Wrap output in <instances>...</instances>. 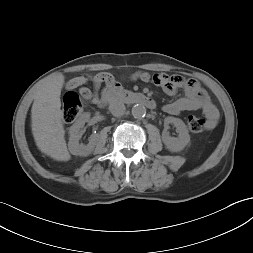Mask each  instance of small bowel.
<instances>
[{
    "label": "small bowel",
    "instance_id": "1",
    "mask_svg": "<svg viewBox=\"0 0 253 253\" xmlns=\"http://www.w3.org/2000/svg\"><path fill=\"white\" fill-rule=\"evenodd\" d=\"M133 78L144 82L153 81L169 96H174L179 90H183L184 96L166 103L163 106L164 112L178 115L184 111L200 110L207 119V129L211 130L215 127L219 118L218 109L211 101L207 92L196 80L185 79L180 75H167L165 73L152 75L148 72H137L133 75ZM113 81L114 77L109 73H98L92 76L77 75L67 83V88H78L84 99L99 106L101 87L104 84H111ZM88 83L92 84L91 89L87 87Z\"/></svg>",
    "mask_w": 253,
    "mask_h": 253
}]
</instances>
